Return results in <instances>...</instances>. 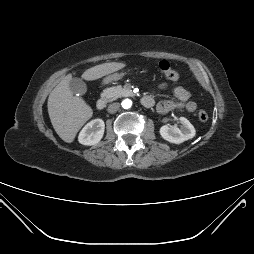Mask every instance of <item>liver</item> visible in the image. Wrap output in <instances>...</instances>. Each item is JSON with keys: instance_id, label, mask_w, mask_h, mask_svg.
I'll return each mask as SVG.
<instances>
[{"instance_id": "1", "label": "liver", "mask_w": 254, "mask_h": 254, "mask_svg": "<svg viewBox=\"0 0 254 254\" xmlns=\"http://www.w3.org/2000/svg\"><path fill=\"white\" fill-rule=\"evenodd\" d=\"M125 67L124 63L110 62L87 69L82 78L91 81L114 73ZM67 75L50 93L48 113L58 136L65 142H73L80 128L92 117L91 107L80 97L73 96Z\"/></svg>"}]
</instances>
